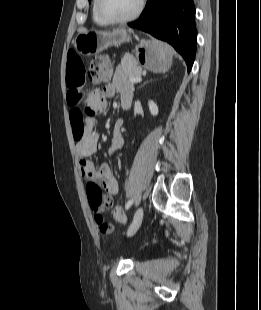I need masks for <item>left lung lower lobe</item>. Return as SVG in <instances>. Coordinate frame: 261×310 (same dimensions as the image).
<instances>
[{
    "label": "left lung lower lobe",
    "instance_id": "0a47b994",
    "mask_svg": "<svg viewBox=\"0 0 261 310\" xmlns=\"http://www.w3.org/2000/svg\"><path fill=\"white\" fill-rule=\"evenodd\" d=\"M128 25L171 44L190 72L197 37L193 0H149L140 18Z\"/></svg>",
    "mask_w": 261,
    "mask_h": 310
}]
</instances>
